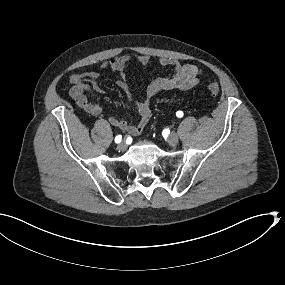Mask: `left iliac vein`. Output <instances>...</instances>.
<instances>
[{"label": "left iliac vein", "mask_w": 285, "mask_h": 285, "mask_svg": "<svg viewBox=\"0 0 285 285\" xmlns=\"http://www.w3.org/2000/svg\"><path fill=\"white\" fill-rule=\"evenodd\" d=\"M167 143L170 146H176L178 144V135L176 133H170L167 138Z\"/></svg>", "instance_id": "4c4485c4"}]
</instances>
